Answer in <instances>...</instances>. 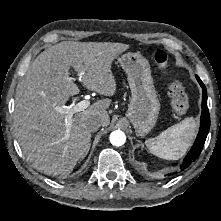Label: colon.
<instances>
[{
	"instance_id": "5ec220e1",
	"label": "colon",
	"mask_w": 221,
	"mask_h": 221,
	"mask_svg": "<svg viewBox=\"0 0 221 221\" xmlns=\"http://www.w3.org/2000/svg\"><path fill=\"white\" fill-rule=\"evenodd\" d=\"M153 59L161 69H167L169 55L165 51L158 50L154 52ZM168 93L173 110L178 114H184L188 109L189 103L183 84L179 80H173L168 86Z\"/></svg>"
}]
</instances>
